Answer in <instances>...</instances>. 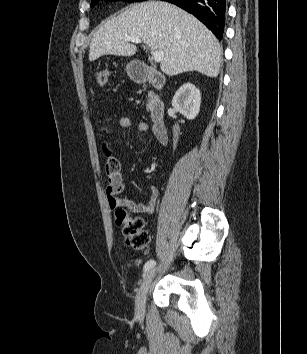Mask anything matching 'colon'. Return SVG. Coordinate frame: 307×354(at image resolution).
<instances>
[{"label": "colon", "instance_id": "obj_1", "mask_svg": "<svg viewBox=\"0 0 307 354\" xmlns=\"http://www.w3.org/2000/svg\"><path fill=\"white\" fill-rule=\"evenodd\" d=\"M109 72L105 68L95 71V80L98 85L105 86L108 82ZM115 221L121 227L126 244L136 251L149 252L150 237L144 229V220L141 217L131 216V210L126 206H116Z\"/></svg>", "mask_w": 307, "mask_h": 354}]
</instances>
